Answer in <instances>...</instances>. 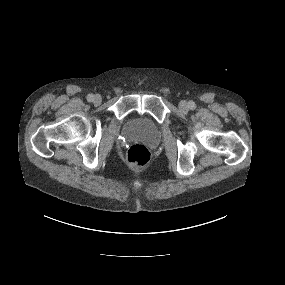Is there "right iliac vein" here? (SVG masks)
<instances>
[{"label": "right iliac vein", "instance_id": "obj_1", "mask_svg": "<svg viewBox=\"0 0 285 285\" xmlns=\"http://www.w3.org/2000/svg\"><path fill=\"white\" fill-rule=\"evenodd\" d=\"M93 101H94V104H95V105H99V104L101 103V101H102V98H101L100 95H95Z\"/></svg>", "mask_w": 285, "mask_h": 285}]
</instances>
